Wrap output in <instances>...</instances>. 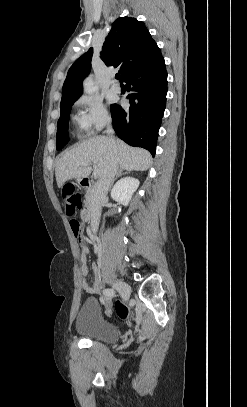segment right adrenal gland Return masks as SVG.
Returning a JSON list of instances; mask_svg holds the SVG:
<instances>
[{
    "label": "right adrenal gland",
    "mask_w": 247,
    "mask_h": 407,
    "mask_svg": "<svg viewBox=\"0 0 247 407\" xmlns=\"http://www.w3.org/2000/svg\"><path fill=\"white\" fill-rule=\"evenodd\" d=\"M127 173H130V172H124V169H120V170L118 171L116 177L113 179L110 188L113 186V184H114V182L117 180V178H119L120 176H122V175H124V174H127Z\"/></svg>",
    "instance_id": "1"
}]
</instances>
